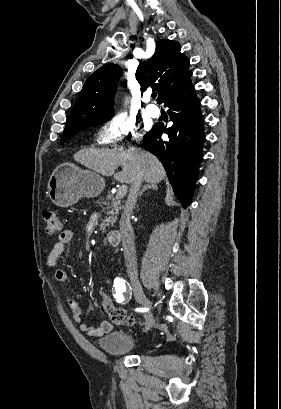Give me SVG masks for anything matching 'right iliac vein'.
<instances>
[{"mask_svg": "<svg viewBox=\"0 0 281 409\" xmlns=\"http://www.w3.org/2000/svg\"><path fill=\"white\" fill-rule=\"evenodd\" d=\"M132 286V290L135 296L136 301L142 305L144 308L150 310L151 309V302L149 301V299L146 297L143 288L141 287L140 283L138 281H132L131 283ZM145 330H149L150 327L153 325L154 321H153V316L151 314V312H147L145 314Z\"/></svg>", "mask_w": 281, "mask_h": 409, "instance_id": "1", "label": "right iliac vein"}]
</instances>
